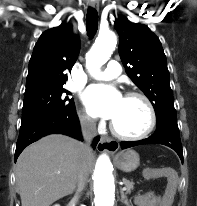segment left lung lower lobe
Returning a JSON list of instances; mask_svg holds the SVG:
<instances>
[{"label":"left lung lower lobe","mask_w":197,"mask_h":206,"mask_svg":"<svg viewBox=\"0 0 197 206\" xmlns=\"http://www.w3.org/2000/svg\"><path fill=\"white\" fill-rule=\"evenodd\" d=\"M144 144H162L166 145L179 155L181 161L183 162V152L182 144L180 140L179 129L173 126H163L156 129L155 133L147 139L139 141H122L121 149H126L138 145Z\"/></svg>","instance_id":"0a47b994"}]
</instances>
